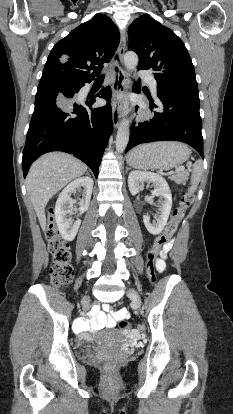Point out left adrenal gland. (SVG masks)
<instances>
[{
  "label": "left adrenal gland",
  "mask_w": 233,
  "mask_h": 414,
  "mask_svg": "<svg viewBox=\"0 0 233 414\" xmlns=\"http://www.w3.org/2000/svg\"><path fill=\"white\" fill-rule=\"evenodd\" d=\"M128 170H129V167H126V172H128Z\"/></svg>",
  "instance_id": "1"
}]
</instances>
